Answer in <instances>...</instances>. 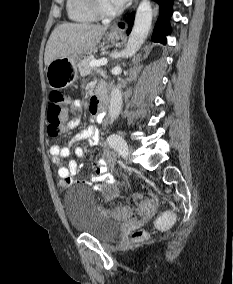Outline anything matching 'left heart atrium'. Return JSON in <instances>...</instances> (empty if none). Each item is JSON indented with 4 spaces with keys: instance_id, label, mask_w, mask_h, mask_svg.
I'll use <instances>...</instances> for the list:
<instances>
[{
    "instance_id": "obj_1",
    "label": "left heart atrium",
    "mask_w": 233,
    "mask_h": 284,
    "mask_svg": "<svg viewBox=\"0 0 233 284\" xmlns=\"http://www.w3.org/2000/svg\"><path fill=\"white\" fill-rule=\"evenodd\" d=\"M129 0H113V2L117 5V6H122L124 5L126 2H128Z\"/></svg>"
}]
</instances>
